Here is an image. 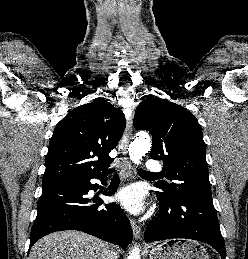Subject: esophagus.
I'll return each instance as SVG.
<instances>
[{
	"instance_id": "1",
	"label": "esophagus",
	"mask_w": 248,
	"mask_h": 259,
	"mask_svg": "<svg viewBox=\"0 0 248 259\" xmlns=\"http://www.w3.org/2000/svg\"><path fill=\"white\" fill-rule=\"evenodd\" d=\"M126 120H127L126 129L122 139L123 156L121 159V167L126 177H131L132 170L127 157L128 145H129L130 138L132 136V129H133V114L131 109H127L126 111ZM130 224L132 227L134 237L136 239H139L141 236V227L133 219H130Z\"/></svg>"
}]
</instances>
